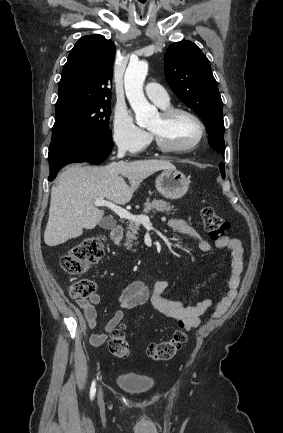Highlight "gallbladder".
<instances>
[{"label": "gallbladder", "instance_id": "obj_1", "mask_svg": "<svg viewBox=\"0 0 283 433\" xmlns=\"http://www.w3.org/2000/svg\"><path fill=\"white\" fill-rule=\"evenodd\" d=\"M99 227H102V229H114V227H116V221L111 219V217H104V219L100 221Z\"/></svg>", "mask_w": 283, "mask_h": 433}]
</instances>
